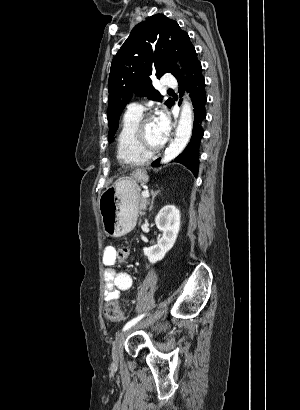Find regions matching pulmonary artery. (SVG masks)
Listing matches in <instances>:
<instances>
[{
  "instance_id": "pulmonary-artery-1",
  "label": "pulmonary artery",
  "mask_w": 300,
  "mask_h": 410,
  "mask_svg": "<svg viewBox=\"0 0 300 410\" xmlns=\"http://www.w3.org/2000/svg\"><path fill=\"white\" fill-rule=\"evenodd\" d=\"M176 85H177V81L172 75L165 74L163 76V86L174 88L176 87ZM128 111L135 112V113H142L143 107L139 103L134 102L128 106Z\"/></svg>"
}]
</instances>
